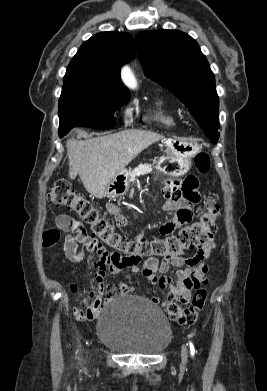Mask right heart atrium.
<instances>
[{
    "label": "right heart atrium",
    "instance_id": "d8ad5b80",
    "mask_svg": "<svg viewBox=\"0 0 267 391\" xmlns=\"http://www.w3.org/2000/svg\"><path fill=\"white\" fill-rule=\"evenodd\" d=\"M124 114L125 116H128L130 114V108H126Z\"/></svg>",
    "mask_w": 267,
    "mask_h": 391
}]
</instances>
